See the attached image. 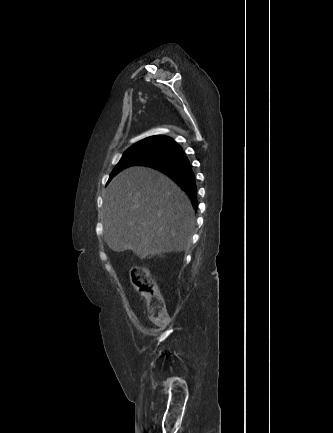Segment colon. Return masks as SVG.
<instances>
[{"label": "colon", "mask_w": 333, "mask_h": 433, "mask_svg": "<svg viewBox=\"0 0 333 433\" xmlns=\"http://www.w3.org/2000/svg\"><path fill=\"white\" fill-rule=\"evenodd\" d=\"M130 278L133 287L147 300L149 319L157 326H165L168 321L167 310L155 279L142 267H134Z\"/></svg>", "instance_id": "obj_1"}]
</instances>
